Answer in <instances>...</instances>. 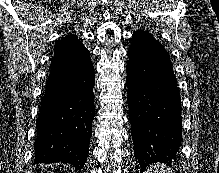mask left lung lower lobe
Masks as SVG:
<instances>
[{"label": "left lung lower lobe", "mask_w": 219, "mask_h": 173, "mask_svg": "<svg viewBox=\"0 0 219 173\" xmlns=\"http://www.w3.org/2000/svg\"><path fill=\"white\" fill-rule=\"evenodd\" d=\"M128 50L127 87L134 156L149 164L177 160L182 141L180 94L167 51L147 31H136Z\"/></svg>", "instance_id": "left-lung-lower-lobe-1"}]
</instances>
